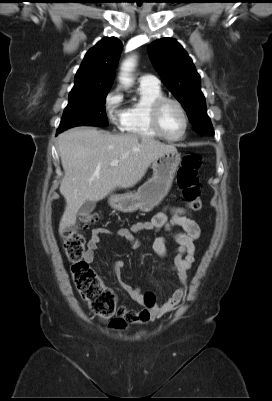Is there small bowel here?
<instances>
[{"label":"small bowel","mask_w":272,"mask_h":401,"mask_svg":"<svg viewBox=\"0 0 272 401\" xmlns=\"http://www.w3.org/2000/svg\"><path fill=\"white\" fill-rule=\"evenodd\" d=\"M175 227H180L181 230H174ZM150 231H166L176 243L177 246L173 250L171 268L176 273L178 286L172 295L160 306L144 307V299L140 289L121 279V272L125 267V262L122 260L115 261L113 264L114 276L131 299L142 306L140 310H129L121 307V315L112 322V326L117 330H124L127 323L145 324L173 310L182 301L187 285V273L194 262L195 241L200 237V227L185 209L168 206L156 213L150 220L137 222L129 227L119 228L115 232L104 227H97L91 231L87 251L84 255V259L88 263L93 262L102 235L114 234L117 237L125 239L132 247L136 248L140 245L138 235ZM153 250L161 258L168 256L167 243L164 236H156L153 241Z\"/></svg>","instance_id":"obj_1"}]
</instances>
